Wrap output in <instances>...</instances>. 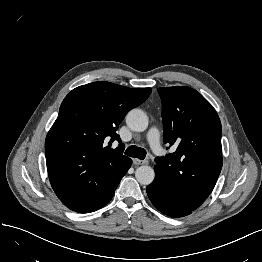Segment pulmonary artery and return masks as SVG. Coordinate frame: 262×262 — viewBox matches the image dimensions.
<instances>
[{
    "label": "pulmonary artery",
    "instance_id": "e3ab8cb5",
    "mask_svg": "<svg viewBox=\"0 0 262 262\" xmlns=\"http://www.w3.org/2000/svg\"><path fill=\"white\" fill-rule=\"evenodd\" d=\"M147 140L149 142L150 147L152 150L157 153L161 154L162 153V146L160 143V136L159 132L156 128H151L147 134Z\"/></svg>",
    "mask_w": 262,
    "mask_h": 262
}]
</instances>
